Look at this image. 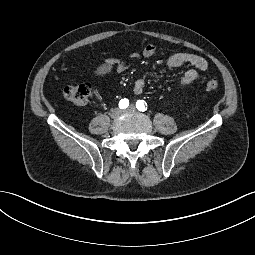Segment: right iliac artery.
Instances as JSON below:
<instances>
[{"label":"right iliac artery","mask_w":255,"mask_h":255,"mask_svg":"<svg viewBox=\"0 0 255 255\" xmlns=\"http://www.w3.org/2000/svg\"><path fill=\"white\" fill-rule=\"evenodd\" d=\"M129 105V100L124 98V99H121L120 102H119V108L120 109H125L127 108Z\"/></svg>","instance_id":"1"}]
</instances>
